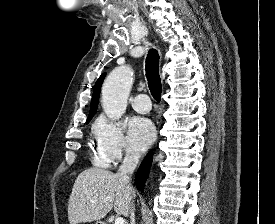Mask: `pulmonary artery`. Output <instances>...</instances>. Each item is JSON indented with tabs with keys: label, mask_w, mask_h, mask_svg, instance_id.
Masks as SVG:
<instances>
[{
	"label": "pulmonary artery",
	"mask_w": 275,
	"mask_h": 224,
	"mask_svg": "<svg viewBox=\"0 0 275 224\" xmlns=\"http://www.w3.org/2000/svg\"><path fill=\"white\" fill-rule=\"evenodd\" d=\"M132 107L139 113H148L151 109L150 98L146 94H139L134 97Z\"/></svg>",
	"instance_id": "obj_1"
}]
</instances>
